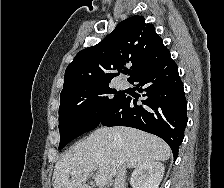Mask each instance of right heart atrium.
Here are the masks:
<instances>
[{"label": "right heart atrium", "mask_w": 224, "mask_h": 188, "mask_svg": "<svg viewBox=\"0 0 224 188\" xmlns=\"http://www.w3.org/2000/svg\"><path fill=\"white\" fill-rule=\"evenodd\" d=\"M87 113L90 117L95 118L100 114V108L97 105L89 106Z\"/></svg>", "instance_id": "right-heart-atrium-1"}]
</instances>
